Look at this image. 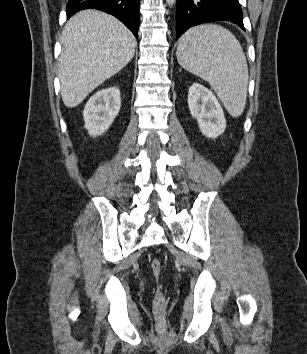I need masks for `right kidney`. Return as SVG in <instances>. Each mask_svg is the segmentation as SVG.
Segmentation results:
<instances>
[{
	"label": "right kidney",
	"mask_w": 307,
	"mask_h": 354,
	"mask_svg": "<svg viewBox=\"0 0 307 354\" xmlns=\"http://www.w3.org/2000/svg\"><path fill=\"white\" fill-rule=\"evenodd\" d=\"M121 106L117 87L102 89L95 93L84 108V127L92 137L105 133L118 115Z\"/></svg>",
	"instance_id": "1"
}]
</instances>
